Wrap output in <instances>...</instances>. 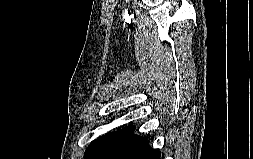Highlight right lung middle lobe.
Returning <instances> with one entry per match:
<instances>
[{
  "mask_svg": "<svg viewBox=\"0 0 253 159\" xmlns=\"http://www.w3.org/2000/svg\"><path fill=\"white\" fill-rule=\"evenodd\" d=\"M132 131H134V127L129 126L122 130L100 136L91 142L90 146L86 149L85 159H97L98 156H100L108 148L116 144L119 140L123 139Z\"/></svg>",
  "mask_w": 253,
  "mask_h": 159,
  "instance_id": "dd1d6c3e",
  "label": "right lung middle lobe"
}]
</instances>
